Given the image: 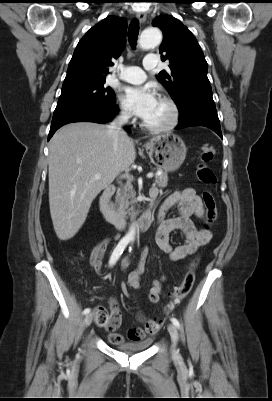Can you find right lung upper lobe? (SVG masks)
Segmentation results:
<instances>
[{
  "label": "right lung upper lobe",
  "instance_id": "1",
  "mask_svg": "<svg viewBox=\"0 0 272 401\" xmlns=\"http://www.w3.org/2000/svg\"><path fill=\"white\" fill-rule=\"evenodd\" d=\"M127 22L108 16L79 41L69 63L62 90L105 80L112 60L126 45Z\"/></svg>",
  "mask_w": 272,
  "mask_h": 401
}]
</instances>
